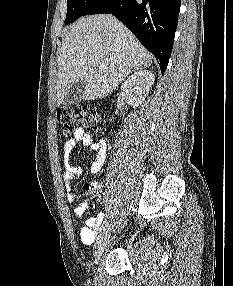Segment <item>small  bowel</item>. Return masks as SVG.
I'll return each instance as SVG.
<instances>
[{
	"instance_id": "1",
	"label": "small bowel",
	"mask_w": 233,
	"mask_h": 286,
	"mask_svg": "<svg viewBox=\"0 0 233 286\" xmlns=\"http://www.w3.org/2000/svg\"><path fill=\"white\" fill-rule=\"evenodd\" d=\"M78 143L89 146L91 150L96 153V158L91 164L90 168L92 174H97L100 172L107 156V145L103 139H95L93 136L86 133L82 128H77L74 130L73 136L68 139L64 145V161L66 166L64 183L66 189L69 191L67 194V200L69 202H73L77 196L75 193L70 192L72 189V182L75 178H79L83 173L81 166L70 163L72 151ZM93 193L98 201L102 202L104 200L103 193L99 186L95 191H93ZM88 209L89 203L87 201H82L74 209L75 219H80L88 211ZM103 219V213H99L96 216H90L86 219L85 226L80 230V238L84 244H91L94 241L97 229L99 228Z\"/></svg>"
}]
</instances>
